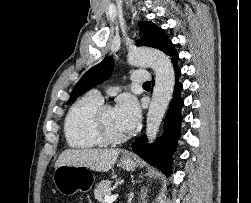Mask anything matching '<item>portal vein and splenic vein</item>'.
I'll return each mask as SVG.
<instances>
[{
  "label": "portal vein and splenic vein",
  "mask_w": 251,
  "mask_h": 203,
  "mask_svg": "<svg viewBox=\"0 0 251 203\" xmlns=\"http://www.w3.org/2000/svg\"><path fill=\"white\" fill-rule=\"evenodd\" d=\"M118 195L105 196L104 203H112L117 199Z\"/></svg>",
  "instance_id": "obj_1"
}]
</instances>
